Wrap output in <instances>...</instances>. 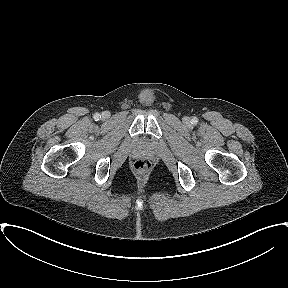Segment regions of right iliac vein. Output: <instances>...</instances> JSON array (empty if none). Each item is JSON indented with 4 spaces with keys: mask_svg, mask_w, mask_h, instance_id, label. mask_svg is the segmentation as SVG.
Masks as SVG:
<instances>
[{
    "mask_svg": "<svg viewBox=\"0 0 288 288\" xmlns=\"http://www.w3.org/2000/svg\"><path fill=\"white\" fill-rule=\"evenodd\" d=\"M109 117V113L108 112H104L103 114H102V118L103 119H106V118H108Z\"/></svg>",
    "mask_w": 288,
    "mask_h": 288,
    "instance_id": "63e3f726",
    "label": "right iliac vein"
}]
</instances>
